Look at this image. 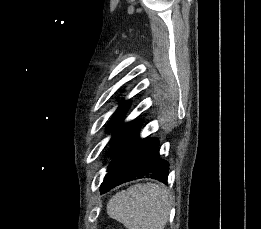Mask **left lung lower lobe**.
Returning <instances> with one entry per match:
<instances>
[{
  "label": "left lung lower lobe",
  "mask_w": 261,
  "mask_h": 229,
  "mask_svg": "<svg viewBox=\"0 0 261 229\" xmlns=\"http://www.w3.org/2000/svg\"><path fill=\"white\" fill-rule=\"evenodd\" d=\"M141 125L140 120L134 122L113 144V161L107 168L108 173L100 187L101 193L136 178L150 177L161 182L167 181L169 163L159 158L157 139L139 138Z\"/></svg>",
  "instance_id": "obj_1"
}]
</instances>
